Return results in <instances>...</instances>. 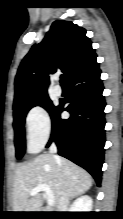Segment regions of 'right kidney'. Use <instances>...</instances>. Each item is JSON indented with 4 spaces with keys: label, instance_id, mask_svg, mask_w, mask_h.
Here are the masks:
<instances>
[{
    "label": "right kidney",
    "instance_id": "obj_1",
    "mask_svg": "<svg viewBox=\"0 0 123 219\" xmlns=\"http://www.w3.org/2000/svg\"><path fill=\"white\" fill-rule=\"evenodd\" d=\"M92 206V198L88 195H84L74 201L69 209V212H91Z\"/></svg>",
    "mask_w": 123,
    "mask_h": 219
}]
</instances>
